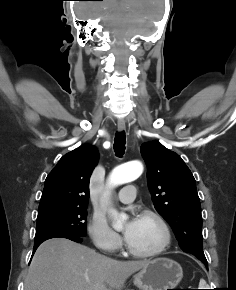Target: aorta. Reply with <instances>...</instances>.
<instances>
[{"label":"aorta","mask_w":236,"mask_h":290,"mask_svg":"<svg viewBox=\"0 0 236 290\" xmlns=\"http://www.w3.org/2000/svg\"><path fill=\"white\" fill-rule=\"evenodd\" d=\"M143 172V165L138 161L129 162L118 166L113 169L108 179L109 188L116 187L125 183L136 180ZM111 213L115 219L113 228L120 230L123 227V223L127 220L126 214H118L117 211L111 210Z\"/></svg>","instance_id":"1"}]
</instances>
